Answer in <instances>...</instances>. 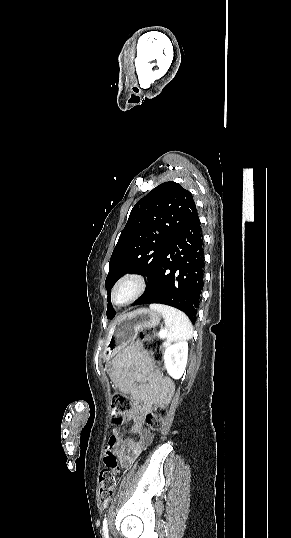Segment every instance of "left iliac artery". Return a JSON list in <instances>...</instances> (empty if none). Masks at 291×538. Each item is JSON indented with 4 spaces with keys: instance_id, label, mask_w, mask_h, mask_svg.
Wrapping results in <instances>:
<instances>
[{
    "instance_id": "obj_1",
    "label": "left iliac artery",
    "mask_w": 291,
    "mask_h": 538,
    "mask_svg": "<svg viewBox=\"0 0 291 538\" xmlns=\"http://www.w3.org/2000/svg\"><path fill=\"white\" fill-rule=\"evenodd\" d=\"M102 530H103V535L105 538H109V535H108V523H107V518L105 517L104 520H103V527H102Z\"/></svg>"
}]
</instances>
